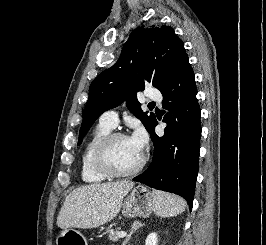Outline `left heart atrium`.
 <instances>
[{
	"mask_svg": "<svg viewBox=\"0 0 266 245\" xmlns=\"http://www.w3.org/2000/svg\"><path fill=\"white\" fill-rule=\"evenodd\" d=\"M128 140L133 149L141 154L146 144V135L144 131L141 128H135L133 133L128 137Z\"/></svg>",
	"mask_w": 266,
	"mask_h": 245,
	"instance_id": "obj_1",
	"label": "left heart atrium"
}]
</instances>
